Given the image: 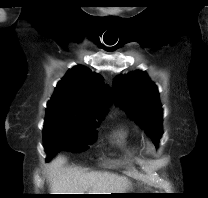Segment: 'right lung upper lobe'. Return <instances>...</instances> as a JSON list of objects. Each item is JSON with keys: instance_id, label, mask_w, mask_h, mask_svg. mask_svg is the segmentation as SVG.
Listing matches in <instances>:
<instances>
[{"instance_id": "cb5924a9", "label": "right lung upper lobe", "mask_w": 208, "mask_h": 198, "mask_svg": "<svg viewBox=\"0 0 208 198\" xmlns=\"http://www.w3.org/2000/svg\"><path fill=\"white\" fill-rule=\"evenodd\" d=\"M111 101L112 92L103 77L84 66H76L57 84L46 111L101 119Z\"/></svg>"}]
</instances>
